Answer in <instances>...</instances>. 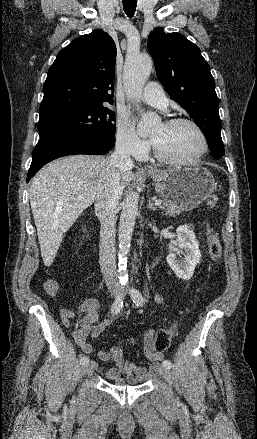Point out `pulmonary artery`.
<instances>
[{
	"mask_svg": "<svg viewBox=\"0 0 257 439\" xmlns=\"http://www.w3.org/2000/svg\"><path fill=\"white\" fill-rule=\"evenodd\" d=\"M141 97L143 101L153 107L166 109L168 106V99L161 86L156 82L148 83L143 89Z\"/></svg>",
	"mask_w": 257,
	"mask_h": 439,
	"instance_id": "e3ab8cb5",
	"label": "pulmonary artery"
}]
</instances>
